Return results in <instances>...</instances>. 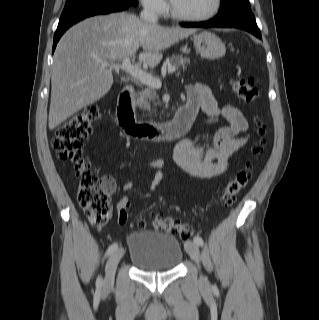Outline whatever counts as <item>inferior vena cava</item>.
<instances>
[{"label": "inferior vena cava", "mask_w": 319, "mask_h": 320, "mask_svg": "<svg viewBox=\"0 0 319 320\" xmlns=\"http://www.w3.org/2000/svg\"><path fill=\"white\" fill-rule=\"evenodd\" d=\"M140 18L149 23H157L158 16L153 5L147 3L144 6L143 11L140 13Z\"/></svg>", "instance_id": "1"}]
</instances>
